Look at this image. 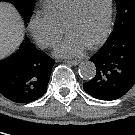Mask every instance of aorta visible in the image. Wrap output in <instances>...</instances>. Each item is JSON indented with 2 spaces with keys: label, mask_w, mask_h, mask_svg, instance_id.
<instances>
[{
  "label": "aorta",
  "mask_w": 135,
  "mask_h": 135,
  "mask_svg": "<svg viewBox=\"0 0 135 135\" xmlns=\"http://www.w3.org/2000/svg\"><path fill=\"white\" fill-rule=\"evenodd\" d=\"M78 71L84 80H91L96 75V66L91 61H83L80 63Z\"/></svg>",
  "instance_id": "obj_1"
}]
</instances>
